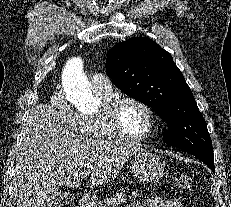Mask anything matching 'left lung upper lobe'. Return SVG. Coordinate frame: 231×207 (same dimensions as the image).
Listing matches in <instances>:
<instances>
[{
	"label": "left lung upper lobe",
	"mask_w": 231,
	"mask_h": 207,
	"mask_svg": "<svg viewBox=\"0 0 231 207\" xmlns=\"http://www.w3.org/2000/svg\"><path fill=\"white\" fill-rule=\"evenodd\" d=\"M106 71L121 91L152 107L167 123L165 143L213 154L205 119L170 53L149 38H133L108 52Z\"/></svg>",
	"instance_id": "obj_1"
}]
</instances>
